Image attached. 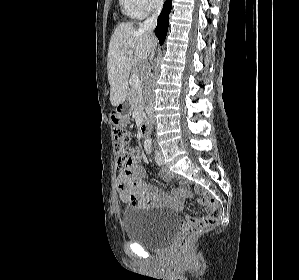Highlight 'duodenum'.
Listing matches in <instances>:
<instances>
[{
	"label": "duodenum",
	"mask_w": 299,
	"mask_h": 280,
	"mask_svg": "<svg viewBox=\"0 0 299 280\" xmlns=\"http://www.w3.org/2000/svg\"><path fill=\"white\" fill-rule=\"evenodd\" d=\"M149 130V122L147 118H144L141 122L139 133L141 137H146Z\"/></svg>",
	"instance_id": "duodenum-1"
}]
</instances>
